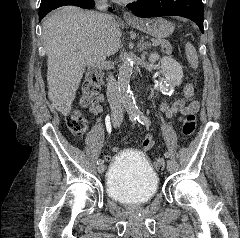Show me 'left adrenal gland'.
I'll return each instance as SVG.
<instances>
[{"instance_id":"a2214340","label":"left adrenal gland","mask_w":240,"mask_h":238,"mask_svg":"<svg viewBox=\"0 0 240 238\" xmlns=\"http://www.w3.org/2000/svg\"><path fill=\"white\" fill-rule=\"evenodd\" d=\"M139 46H140V50L143 51V55H145L146 52L144 50H146L148 47H150L151 44L148 42H144V38H142L139 43Z\"/></svg>"}]
</instances>
